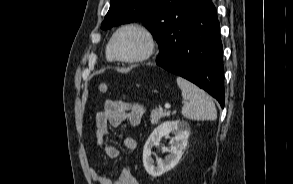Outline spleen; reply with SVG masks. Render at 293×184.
I'll list each match as a JSON object with an SVG mask.
<instances>
[{"instance_id": "1", "label": "spleen", "mask_w": 293, "mask_h": 184, "mask_svg": "<svg viewBox=\"0 0 293 184\" xmlns=\"http://www.w3.org/2000/svg\"><path fill=\"white\" fill-rule=\"evenodd\" d=\"M185 103L182 115L190 120H215L217 110L212 98L202 89L182 77H177Z\"/></svg>"}]
</instances>
